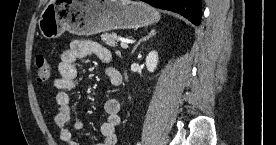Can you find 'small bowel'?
Wrapping results in <instances>:
<instances>
[{
  "instance_id": "c3829d8e",
  "label": "small bowel",
  "mask_w": 276,
  "mask_h": 145,
  "mask_svg": "<svg viewBox=\"0 0 276 145\" xmlns=\"http://www.w3.org/2000/svg\"><path fill=\"white\" fill-rule=\"evenodd\" d=\"M91 54L97 55L103 62H111L113 59L111 51L100 44L91 40L77 39L62 52L58 65L60 76L54 80V87L57 90L55 124L59 130L60 140L66 145H78L72 136V130H80L84 126L80 117H72L70 93L76 85L78 61ZM118 73L112 67L105 70V75L111 83H114ZM120 110V102L116 98H108L105 101L106 121L101 125L102 141L99 145L117 144L115 129L121 122Z\"/></svg>"
}]
</instances>
